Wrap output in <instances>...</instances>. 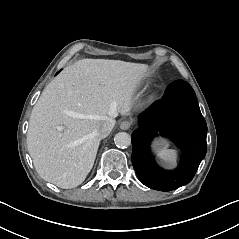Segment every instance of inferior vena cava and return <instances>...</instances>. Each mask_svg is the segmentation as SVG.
I'll list each match as a JSON object with an SVG mask.
<instances>
[{
  "label": "inferior vena cava",
  "mask_w": 239,
  "mask_h": 239,
  "mask_svg": "<svg viewBox=\"0 0 239 239\" xmlns=\"http://www.w3.org/2000/svg\"><path fill=\"white\" fill-rule=\"evenodd\" d=\"M114 125H115V120L113 119L106 120L97 130L98 137L100 139L106 138L112 131Z\"/></svg>",
  "instance_id": "inferior-vena-cava-1"
}]
</instances>
